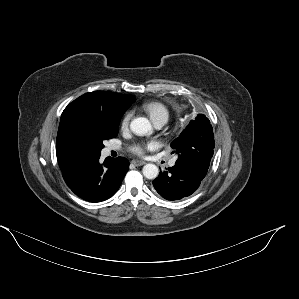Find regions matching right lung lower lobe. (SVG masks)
Here are the masks:
<instances>
[{
  "mask_svg": "<svg viewBox=\"0 0 299 299\" xmlns=\"http://www.w3.org/2000/svg\"><path fill=\"white\" fill-rule=\"evenodd\" d=\"M100 155L101 153L87 155L62 171L69 188L77 196L90 202H100L114 195L129 168L126 158L107 157L100 163Z\"/></svg>",
  "mask_w": 299,
  "mask_h": 299,
  "instance_id": "right-lung-lower-lobe-1",
  "label": "right lung lower lobe"
}]
</instances>
